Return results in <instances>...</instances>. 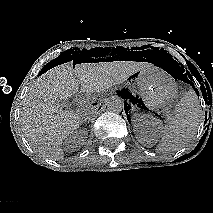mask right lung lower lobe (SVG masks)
Returning <instances> with one entry per match:
<instances>
[{
	"instance_id": "1",
	"label": "right lung lower lobe",
	"mask_w": 213,
	"mask_h": 213,
	"mask_svg": "<svg viewBox=\"0 0 213 213\" xmlns=\"http://www.w3.org/2000/svg\"><path fill=\"white\" fill-rule=\"evenodd\" d=\"M44 70H45V66H44V68L41 70V73L44 72Z\"/></svg>"
}]
</instances>
